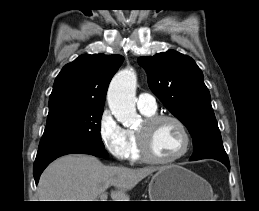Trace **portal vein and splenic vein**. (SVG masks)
<instances>
[{
  "mask_svg": "<svg viewBox=\"0 0 259 211\" xmlns=\"http://www.w3.org/2000/svg\"><path fill=\"white\" fill-rule=\"evenodd\" d=\"M99 201H107V194L106 193L101 194Z\"/></svg>",
  "mask_w": 259,
  "mask_h": 211,
  "instance_id": "1",
  "label": "portal vein and splenic vein"
}]
</instances>
